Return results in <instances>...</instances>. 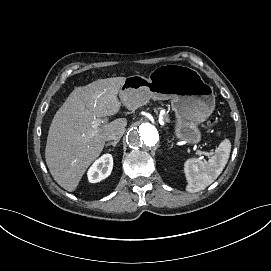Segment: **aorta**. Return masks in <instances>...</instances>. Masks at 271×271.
Instances as JSON below:
<instances>
[{
  "label": "aorta",
  "instance_id": "762f6f07",
  "mask_svg": "<svg viewBox=\"0 0 271 271\" xmlns=\"http://www.w3.org/2000/svg\"><path fill=\"white\" fill-rule=\"evenodd\" d=\"M158 140L159 133L155 124L143 119L134 121L126 135L128 146L141 152L153 149Z\"/></svg>",
  "mask_w": 271,
  "mask_h": 271
}]
</instances>
